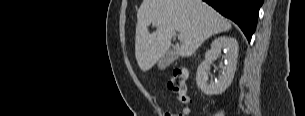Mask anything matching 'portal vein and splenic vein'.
<instances>
[{"label":"portal vein and splenic vein","mask_w":305,"mask_h":116,"mask_svg":"<svg viewBox=\"0 0 305 116\" xmlns=\"http://www.w3.org/2000/svg\"><path fill=\"white\" fill-rule=\"evenodd\" d=\"M178 38H179V39H181V38H182V35H181V34H179V35H178Z\"/></svg>","instance_id":"obj_1"}]
</instances>
